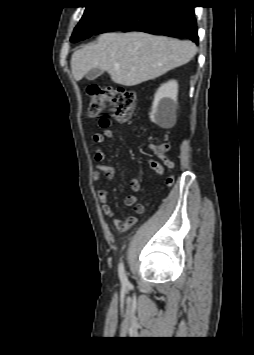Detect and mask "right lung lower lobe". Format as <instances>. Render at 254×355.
I'll list each match as a JSON object with an SVG mask.
<instances>
[{"label":"right lung lower lobe","instance_id":"1","mask_svg":"<svg viewBox=\"0 0 254 355\" xmlns=\"http://www.w3.org/2000/svg\"><path fill=\"white\" fill-rule=\"evenodd\" d=\"M141 31L198 44L193 3L189 0H131L122 3L95 32ZM80 41L79 39L72 42Z\"/></svg>","mask_w":254,"mask_h":355}]
</instances>
